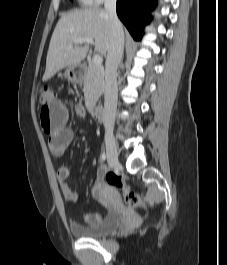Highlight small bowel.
Segmentation results:
<instances>
[{"instance_id": "1", "label": "small bowel", "mask_w": 227, "mask_h": 265, "mask_svg": "<svg viewBox=\"0 0 227 265\" xmlns=\"http://www.w3.org/2000/svg\"><path fill=\"white\" fill-rule=\"evenodd\" d=\"M65 104H70V99L64 100ZM75 112L78 116L85 115V109L81 104L75 105ZM41 126L48 135V147L50 152L55 156H61L70 146L74 134L67 127L68 110L66 106L56 98H52L49 102H42L39 112ZM105 169L99 168L95 182L92 187V196L105 203L107 198L104 192V176ZM70 170L67 166H61L57 170V181L60 187L62 197L69 203H76L80 196L69 184ZM84 221L89 226H96L102 221V217L98 213H87L84 215Z\"/></svg>"}]
</instances>
